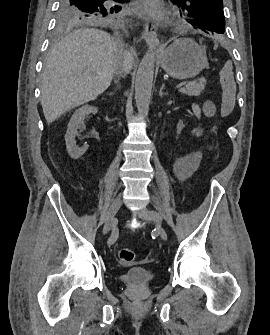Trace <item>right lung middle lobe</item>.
I'll return each instance as SVG.
<instances>
[{"mask_svg": "<svg viewBox=\"0 0 270 335\" xmlns=\"http://www.w3.org/2000/svg\"><path fill=\"white\" fill-rule=\"evenodd\" d=\"M57 12V28L66 31L88 25H111L118 19L121 9L118 0L115 6H104L105 0H60Z\"/></svg>", "mask_w": 270, "mask_h": 335, "instance_id": "obj_1", "label": "right lung middle lobe"}]
</instances>
